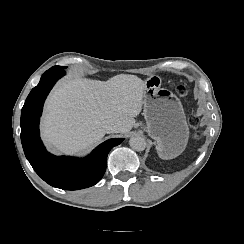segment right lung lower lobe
<instances>
[{"label":"right lung lower lobe","instance_id":"obj_1","mask_svg":"<svg viewBox=\"0 0 244 244\" xmlns=\"http://www.w3.org/2000/svg\"><path fill=\"white\" fill-rule=\"evenodd\" d=\"M54 66L41 77L28 95L21 111V142L27 160L48 184L64 190H78L95 185L103 177L109 151L123 138L109 139L83 159L57 157L46 151L39 136V120L44 101L56 81L65 75Z\"/></svg>","mask_w":244,"mask_h":244}]
</instances>
